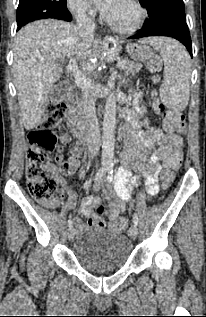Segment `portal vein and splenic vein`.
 I'll return each mask as SVG.
<instances>
[{
    "instance_id": "obj_1",
    "label": "portal vein and splenic vein",
    "mask_w": 206,
    "mask_h": 317,
    "mask_svg": "<svg viewBox=\"0 0 206 317\" xmlns=\"http://www.w3.org/2000/svg\"><path fill=\"white\" fill-rule=\"evenodd\" d=\"M125 64V61H121L117 65L118 67H124ZM67 68L73 73L75 82L81 89L90 90L93 87L92 82L89 79H86V77L79 71L75 59H70Z\"/></svg>"
}]
</instances>
